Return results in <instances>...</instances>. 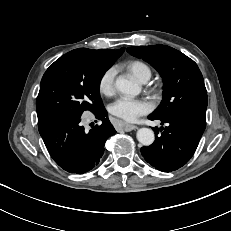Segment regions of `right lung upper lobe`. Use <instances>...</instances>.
<instances>
[{
    "mask_svg": "<svg viewBox=\"0 0 231 231\" xmlns=\"http://www.w3.org/2000/svg\"><path fill=\"white\" fill-rule=\"evenodd\" d=\"M125 48H121L118 50H109V49H99V50H92L88 49L92 53H94L98 58L109 62V63H114L117 58L121 56V54L124 52Z\"/></svg>",
    "mask_w": 231,
    "mask_h": 231,
    "instance_id": "cb5924a9",
    "label": "right lung upper lobe"
}]
</instances>
